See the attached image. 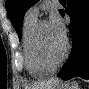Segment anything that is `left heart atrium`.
Segmentation results:
<instances>
[{
  "mask_svg": "<svg viewBox=\"0 0 89 89\" xmlns=\"http://www.w3.org/2000/svg\"><path fill=\"white\" fill-rule=\"evenodd\" d=\"M49 25L52 29V31L54 32V34L64 40L65 38V28H64V25H63V22L61 20V18L59 17L58 14L56 13H53L50 17V20H49Z\"/></svg>",
  "mask_w": 89,
  "mask_h": 89,
  "instance_id": "1",
  "label": "left heart atrium"
}]
</instances>
